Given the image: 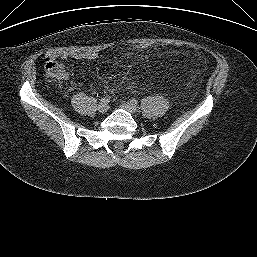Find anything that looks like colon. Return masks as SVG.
<instances>
[{"mask_svg": "<svg viewBox=\"0 0 257 257\" xmlns=\"http://www.w3.org/2000/svg\"><path fill=\"white\" fill-rule=\"evenodd\" d=\"M134 48L138 52H144L150 48V45L146 42H142L135 44ZM45 70L47 75L55 81L62 80L66 75L64 67L55 60H46Z\"/></svg>", "mask_w": 257, "mask_h": 257, "instance_id": "1", "label": "colon"}]
</instances>
